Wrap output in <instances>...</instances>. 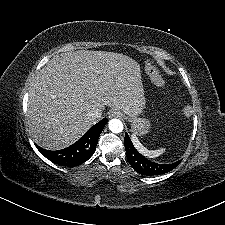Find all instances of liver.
Returning a JSON list of instances; mask_svg holds the SVG:
<instances>
[{"label": "liver", "instance_id": "liver-1", "mask_svg": "<svg viewBox=\"0 0 225 225\" xmlns=\"http://www.w3.org/2000/svg\"><path fill=\"white\" fill-rule=\"evenodd\" d=\"M138 115L145 104L139 64L126 55L78 50L54 56L33 79L28 124L35 141L61 149L77 140L100 117L90 105Z\"/></svg>", "mask_w": 225, "mask_h": 225}]
</instances>
